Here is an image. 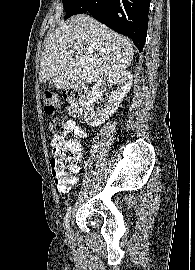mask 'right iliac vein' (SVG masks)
<instances>
[{"label": "right iliac vein", "instance_id": "right-iliac-vein-1", "mask_svg": "<svg viewBox=\"0 0 195 270\" xmlns=\"http://www.w3.org/2000/svg\"><path fill=\"white\" fill-rule=\"evenodd\" d=\"M67 235H68V236L71 235V228H70V226H68V228H67Z\"/></svg>", "mask_w": 195, "mask_h": 270}]
</instances>
